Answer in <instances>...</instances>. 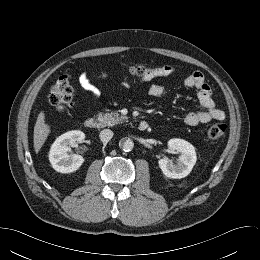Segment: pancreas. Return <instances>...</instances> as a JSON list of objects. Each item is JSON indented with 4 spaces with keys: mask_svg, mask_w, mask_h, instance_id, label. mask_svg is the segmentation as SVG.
I'll return each mask as SVG.
<instances>
[{
    "mask_svg": "<svg viewBox=\"0 0 260 260\" xmlns=\"http://www.w3.org/2000/svg\"><path fill=\"white\" fill-rule=\"evenodd\" d=\"M98 116L106 126H113L116 124H120L127 121L128 119L126 116H122L117 112L99 113Z\"/></svg>",
    "mask_w": 260,
    "mask_h": 260,
    "instance_id": "pancreas-1",
    "label": "pancreas"
}]
</instances>
